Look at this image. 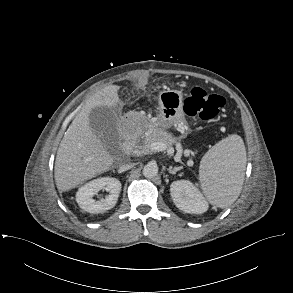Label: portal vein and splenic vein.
<instances>
[{"label": "portal vein and splenic vein", "mask_w": 293, "mask_h": 293, "mask_svg": "<svg viewBox=\"0 0 293 293\" xmlns=\"http://www.w3.org/2000/svg\"><path fill=\"white\" fill-rule=\"evenodd\" d=\"M150 147L155 151H164L167 149V145L163 142H153Z\"/></svg>", "instance_id": "obj_1"}]
</instances>
